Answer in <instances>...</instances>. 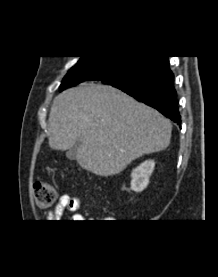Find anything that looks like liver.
Wrapping results in <instances>:
<instances>
[{
  "label": "liver",
  "mask_w": 218,
  "mask_h": 277,
  "mask_svg": "<svg viewBox=\"0 0 218 277\" xmlns=\"http://www.w3.org/2000/svg\"><path fill=\"white\" fill-rule=\"evenodd\" d=\"M171 129L163 115L122 91L85 83L55 97L48 140L51 149L62 151L80 141L78 164L106 177L144 154L166 149Z\"/></svg>",
  "instance_id": "1"
}]
</instances>
